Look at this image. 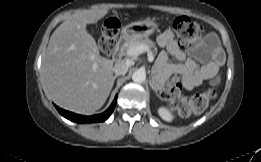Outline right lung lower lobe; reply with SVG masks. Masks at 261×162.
I'll list each match as a JSON object with an SVG mask.
<instances>
[{"label": "right lung lower lobe", "instance_id": "obj_1", "mask_svg": "<svg viewBox=\"0 0 261 162\" xmlns=\"http://www.w3.org/2000/svg\"><path fill=\"white\" fill-rule=\"evenodd\" d=\"M116 101H117V95L115 96L110 107L105 112H103L101 114L94 115V116H82V115H79V114H75V113L63 110L56 105H55V107L63 117H65V118H67V119H69L73 122H76V123H95V122H103L111 115V113L113 112V110L115 108Z\"/></svg>", "mask_w": 261, "mask_h": 162}]
</instances>
